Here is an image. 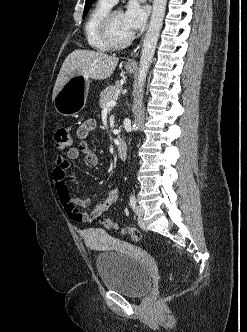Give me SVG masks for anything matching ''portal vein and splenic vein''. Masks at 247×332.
<instances>
[{
    "mask_svg": "<svg viewBox=\"0 0 247 332\" xmlns=\"http://www.w3.org/2000/svg\"><path fill=\"white\" fill-rule=\"evenodd\" d=\"M114 106H116V102L115 101H109V102L106 103V106L103 109L107 110V109L112 108Z\"/></svg>",
    "mask_w": 247,
    "mask_h": 332,
    "instance_id": "portal-vein-and-splenic-vein-1",
    "label": "portal vein and splenic vein"
}]
</instances>
